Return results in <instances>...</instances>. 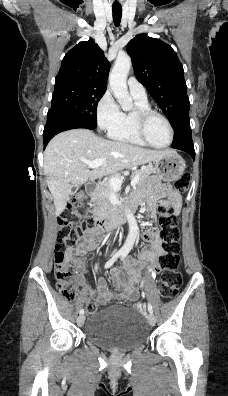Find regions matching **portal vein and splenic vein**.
<instances>
[{
	"mask_svg": "<svg viewBox=\"0 0 228 396\" xmlns=\"http://www.w3.org/2000/svg\"><path fill=\"white\" fill-rule=\"evenodd\" d=\"M106 161L104 159H96L93 161H88L86 162V164L90 167V168H97L101 165H103ZM122 178L119 177H114L112 179H110L109 181V185L113 190H120L121 189V185H122ZM139 182V175H135L132 180H131V186H135L137 183Z\"/></svg>",
	"mask_w": 228,
	"mask_h": 396,
	"instance_id": "portal-vein-and-splenic-vein-1",
	"label": "portal vein and splenic vein"
}]
</instances>
